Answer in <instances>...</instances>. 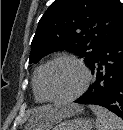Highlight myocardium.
I'll list each match as a JSON object with an SVG mask.
<instances>
[{
	"label": "myocardium",
	"mask_w": 123,
	"mask_h": 130,
	"mask_svg": "<svg viewBox=\"0 0 123 130\" xmlns=\"http://www.w3.org/2000/svg\"><path fill=\"white\" fill-rule=\"evenodd\" d=\"M61 60H70L74 63H76L83 71L84 73V81L80 89L72 96L67 97V98H55L51 96L46 88V75L49 70V68L56 62L61 61ZM91 82V72L87 65L78 58L77 56L73 54H60L55 57H53L51 60H49L43 67L41 75H40V90L43 95V97L46 99V101L56 103V104H66V103H71L75 100H77L80 96L84 94V92L87 90L89 87V84Z\"/></svg>",
	"instance_id": "1"
}]
</instances>
